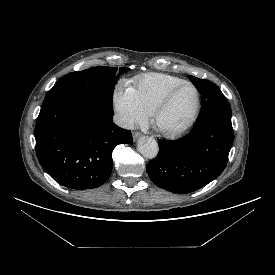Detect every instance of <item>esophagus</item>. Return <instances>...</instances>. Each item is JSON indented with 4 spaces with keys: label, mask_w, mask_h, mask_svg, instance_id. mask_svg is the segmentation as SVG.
I'll use <instances>...</instances> for the list:
<instances>
[{
    "label": "esophagus",
    "mask_w": 275,
    "mask_h": 275,
    "mask_svg": "<svg viewBox=\"0 0 275 275\" xmlns=\"http://www.w3.org/2000/svg\"><path fill=\"white\" fill-rule=\"evenodd\" d=\"M141 137L140 132H133V141H137Z\"/></svg>",
    "instance_id": "esophagus-1"
}]
</instances>
